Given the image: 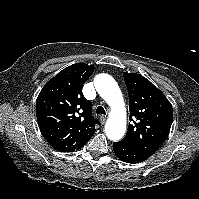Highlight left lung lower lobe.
I'll return each instance as SVG.
<instances>
[{
  "label": "left lung lower lobe",
  "mask_w": 199,
  "mask_h": 199,
  "mask_svg": "<svg viewBox=\"0 0 199 199\" xmlns=\"http://www.w3.org/2000/svg\"><path fill=\"white\" fill-rule=\"evenodd\" d=\"M113 149L116 156L126 163H139L150 157L122 141L113 143Z\"/></svg>",
  "instance_id": "left-lung-lower-lobe-1"
}]
</instances>
